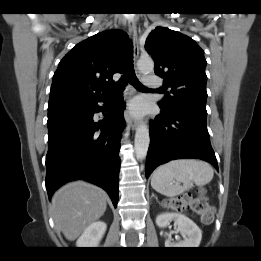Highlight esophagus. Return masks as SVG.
I'll use <instances>...</instances> for the list:
<instances>
[{"instance_id":"34e87169","label":"esophagus","mask_w":261,"mask_h":261,"mask_svg":"<svg viewBox=\"0 0 261 261\" xmlns=\"http://www.w3.org/2000/svg\"><path fill=\"white\" fill-rule=\"evenodd\" d=\"M128 29H129V33H130L132 41H133L134 61L136 62V60L139 57V44H138L136 22L134 20L129 22ZM124 116H125V119L127 120V122L132 127V129H135L138 126V122L131 117L128 109L125 110Z\"/></svg>"}]
</instances>
